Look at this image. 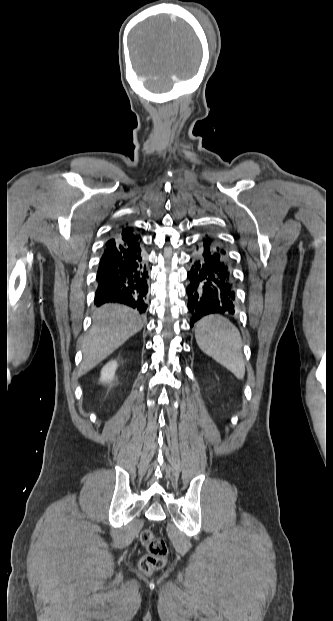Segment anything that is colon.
<instances>
[{
  "instance_id": "5ec220e1",
  "label": "colon",
  "mask_w": 333,
  "mask_h": 621,
  "mask_svg": "<svg viewBox=\"0 0 333 621\" xmlns=\"http://www.w3.org/2000/svg\"><path fill=\"white\" fill-rule=\"evenodd\" d=\"M140 540L146 549V554H144L139 561L141 571L145 574H151L163 568L167 561V546L165 541L161 537L154 535L153 532L148 529L142 531Z\"/></svg>"
}]
</instances>
